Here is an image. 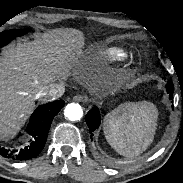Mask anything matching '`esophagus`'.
I'll return each mask as SVG.
<instances>
[{
    "label": "esophagus",
    "instance_id": "34e87169",
    "mask_svg": "<svg viewBox=\"0 0 183 183\" xmlns=\"http://www.w3.org/2000/svg\"><path fill=\"white\" fill-rule=\"evenodd\" d=\"M73 100L76 101V102H84L87 100V97L84 96V95H75L73 97Z\"/></svg>",
    "mask_w": 183,
    "mask_h": 183
}]
</instances>
